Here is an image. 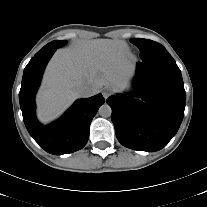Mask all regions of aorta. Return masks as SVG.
I'll return each mask as SVG.
<instances>
[{"label":"aorta","instance_id":"aorta-1","mask_svg":"<svg viewBox=\"0 0 207 207\" xmlns=\"http://www.w3.org/2000/svg\"><path fill=\"white\" fill-rule=\"evenodd\" d=\"M98 113L102 117H110L112 113V109L108 104H103L100 106Z\"/></svg>","mask_w":207,"mask_h":207}]
</instances>
